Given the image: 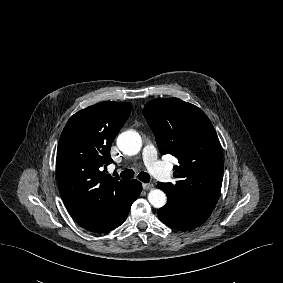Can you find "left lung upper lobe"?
<instances>
[{
    "mask_svg": "<svg viewBox=\"0 0 283 283\" xmlns=\"http://www.w3.org/2000/svg\"><path fill=\"white\" fill-rule=\"evenodd\" d=\"M143 115L159 151L178 159L176 183H161L167 195L182 197L195 208L211 212L223 179L222 151L216 131L205 113L178 98L146 103Z\"/></svg>",
    "mask_w": 283,
    "mask_h": 283,
    "instance_id": "1",
    "label": "left lung upper lobe"
}]
</instances>
